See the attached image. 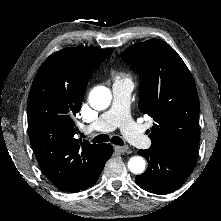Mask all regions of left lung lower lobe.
I'll list each match as a JSON object with an SVG mask.
<instances>
[{
  "mask_svg": "<svg viewBox=\"0 0 221 221\" xmlns=\"http://www.w3.org/2000/svg\"><path fill=\"white\" fill-rule=\"evenodd\" d=\"M149 163L147 170L135 178L136 184L142 189L160 195H165L178 189L192 173L196 156L149 148L139 150Z\"/></svg>",
  "mask_w": 221,
  "mask_h": 221,
  "instance_id": "0a47b994",
  "label": "left lung lower lobe"
}]
</instances>
